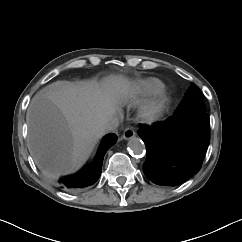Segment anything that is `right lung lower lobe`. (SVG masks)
Wrapping results in <instances>:
<instances>
[{
    "instance_id": "1",
    "label": "right lung lower lobe",
    "mask_w": 242,
    "mask_h": 242,
    "mask_svg": "<svg viewBox=\"0 0 242 242\" xmlns=\"http://www.w3.org/2000/svg\"><path fill=\"white\" fill-rule=\"evenodd\" d=\"M116 141L117 136L115 134L107 135L101 142L92 164L84 171L58 179V186L65 191H77L92 185L101 174L105 153Z\"/></svg>"
}]
</instances>
